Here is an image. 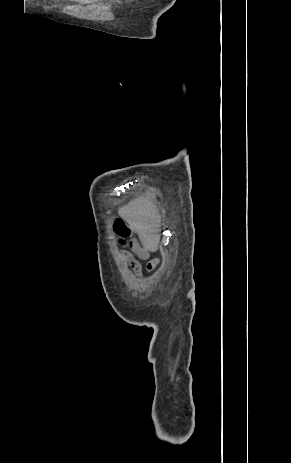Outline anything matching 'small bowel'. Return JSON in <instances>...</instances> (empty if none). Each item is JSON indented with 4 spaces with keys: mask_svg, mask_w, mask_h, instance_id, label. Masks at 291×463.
I'll list each match as a JSON object with an SVG mask.
<instances>
[{
    "mask_svg": "<svg viewBox=\"0 0 291 463\" xmlns=\"http://www.w3.org/2000/svg\"><path fill=\"white\" fill-rule=\"evenodd\" d=\"M118 241L122 246H125L130 251L125 252L123 255L129 266L131 267L134 275L136 277H143L141 265L133 254L137 255L141 259H147L149 257L151 247L140 245L135 239L131 238L130 233L126 236L118 237ZM157 263V259L150 261L147 264V269L149 270L154 268V266Z\"/></svg>",
    "mask_w": 291,
    "mask_h": 463,
    "instance_id": "1",
    "label": "small bowel"
}]
</instances>
